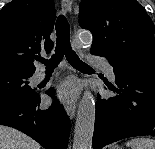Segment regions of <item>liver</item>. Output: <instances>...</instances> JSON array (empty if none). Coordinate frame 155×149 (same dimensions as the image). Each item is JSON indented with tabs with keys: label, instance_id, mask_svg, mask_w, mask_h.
<instances>
[{
	"label": "liver",
	"instance_id": "1",
	"mask_svg": "<svg viewBox=\"0 0 155 149\" xmlns=\"http://www.w3.org/2000/svg\"><path fill=\"white\" fill-rule=\"evenodd\" d=\"M0 149H40V145L20 131L0 125Z\"/></svg>",
	"mask_w": 155,
	"mask_h": 149
}]
</instances>
